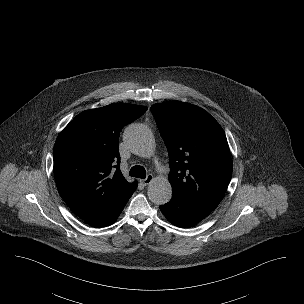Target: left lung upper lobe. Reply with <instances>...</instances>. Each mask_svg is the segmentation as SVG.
<instances>
[{
  "mask_svg": "<svg viewBox=\"0 0 304 304\" xmlns=\"http://www.w3.org/2000/svg\"><path fill=\"white\" fill-rule=\"evenodd\" d=\"M151 112L168 149L172 195L214 210L232 176L223 129L209 113L189 103H157Z\"/></svg>",
  "mask_w": 304,
  "mask_h": 304,
  "instance_id": "5c2ea615",
  "label": "left lung upper lobe"
}]
</instances>
